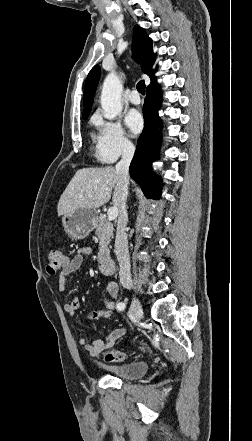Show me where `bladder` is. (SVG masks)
Instances as JSON below:
<instances>
[{
	"label": "bladder",
	"instance_id": "obj_1",
	"mask_svg": "<svg viewBox=\"0 0 252 441\" xmlns=\"http://www.w3.org/2000/svg\"><path fill=\"white\" fill-rule=\"evenodd\" d=\"M101 368L112 376L125 380H134L148 372L149 364L146 361H135L125 364H104L101 365Z\"/></svg>",
	"mask_w": 252,
	"mask_h": 441
}]
</instances>
